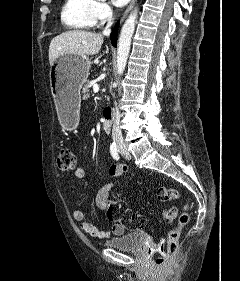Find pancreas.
<instances>
[{
    "mask_svg": "<svg viewBox=\"0 0 240 281\" xmlns=\"http://www.w3.org/2000/svg\"><path fill=\"white\" fill-rule=\"evenodd\" d=\"M93 83L92 81H88L83 89H82V94H83V99H87L90 96V88L92 87Z\"/></svg>",
    "mask_w": 240,
    "mask_h": 281,
    "instance_id": "pancreas-1",
    "label": "pancreas"
}]
</instances>
